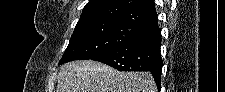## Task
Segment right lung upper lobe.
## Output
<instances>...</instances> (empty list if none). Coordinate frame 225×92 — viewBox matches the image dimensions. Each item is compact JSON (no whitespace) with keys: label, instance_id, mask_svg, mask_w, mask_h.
Masks as SVG:
<instances>
[{"label":"right lung upper lobe","instance_id":"right-lung-upper-lobe-1","mask_svg":"<svg viewBox=\"0 0 225 92\" xmlns=\"http://www.w3.org/2000/svg\"><path fill=\"white\" fill-rule=\"evenodd\" d=\"M118 22L142 32L158 28L153 0H90L76 26Z\"/></svg>","mask_w":225,"mask_h":92}]
</instances>
